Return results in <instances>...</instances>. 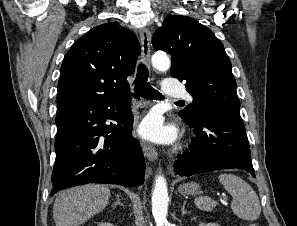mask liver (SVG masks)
Segmentation results:
<instances>
[{
    "label": "liver",
    "mask_w": 297,
    "mask_h": 226,
    "mask_svg": "<svg viewBox=\"0 0 297 226\" xmlns=\"http://www.w3.org/2000/svg\"><path fill=\"white\" fill-rule=\"evenodd\" d=\"M110 190L104 185H84L65 190L56 198L53 218L56 226H79L108 204Z\"/></svg>",
    "instance_id": "obj_1"
}]
</instances>
